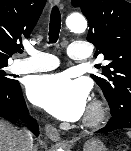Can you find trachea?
Returning <instances> with one entry per match:
<instances>
[{
  "label": "trachea",
  "instance_id": "trachea-1",
  "mask_svg": "<svg viewBox=\"0 0 131 151\" xmlns=\"http://www.w3.org/2000/svg\"><path fill=\"white\" fill-rule=\"evenodd\" d=\"M61 28V15L57 6H54L51 11L49 24V42L56 43L59 38ZM23 52L22 50L20 51Z\"/></svg>",
  "mask_w": 131,
  "mask_h": 151
}]
</instances>
